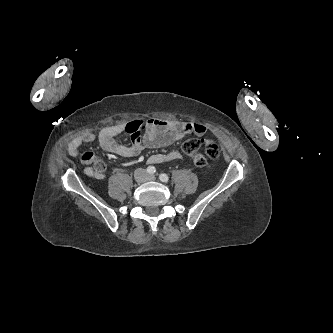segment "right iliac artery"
I'll use <instances>...</instances> for the list:
<instances>
[{"label":"right iliac artery","mask_w":333,"mask_h":333,"mask_svg":"<svg viewBox=\"0 0 333 333\" xmlns=\"http://www.w3.org/2000/svg\"><path fill=\"white\" fill-rule=\"evenodd\" d=\"M147 172H148L149 174H154V173L156 172V169H155L154 166H149V167L147 168Z\"/></svg>","instance_id":"obj_1"}]
</instances>
